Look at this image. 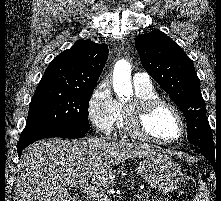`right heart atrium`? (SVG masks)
<instances>
[{"label": "right heart atrium", "instance_id": "obj_1", "mask_svg": "<svg viewBox=\"0 0 221 201\" xmlns=\"http://www.w3.org/2000/svg\"><path fill=\"white\" fill-rule=\"evenodd\" d=\"M88 119L102 134L111 132L119 116V104L113 97L110 86L100 83L93 91L87 106Z\"/></svg>", "mask_w": 221, "mask_h": 201}]
</instances>
